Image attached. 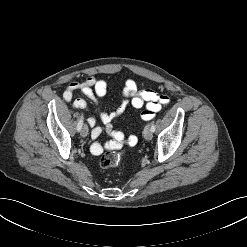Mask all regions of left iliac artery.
<instances>
[{"label":"left iliac artery","instance_id":"1","mask_svg":"<svg viewBox=\"0 0 247 247\" xmlns=\"http://www.w3.org/2000/svg\"><path fill=\"white\" fill-rule=\"evenodd\" d=\"M151 131H152V132L155 131V125H154V124L151 125Z\"/></svg>","mask_w":247,"mask_h":247}]
</instances>
